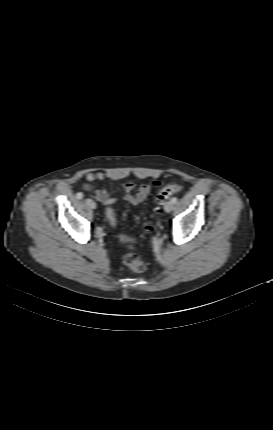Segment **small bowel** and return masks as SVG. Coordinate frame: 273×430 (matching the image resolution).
Wrapping results in <instances>:
<instances>
[{
	"label": "small bowel",
	"instance_id": "1",
	"mask_svg": "<svg viewBox=\"0 0 273 430\" xmlns=\"http://www.w3.org/2000/svg\"><path fill=\"white\" fill-rule=\"evenodd\" d=\"M86 178L90 182L102 181L106 178V174L102 171L90 172L86 175ZM159 185L160 182L157 180L153 181L152 183L142 185H135L131 182L125 183L122 186L125 192L123 200L133 205L140 204L148 197L152 189L158 187ZM95 196L100 203L108 207L117 201V198L110 196L104 188H98L96 190ZM122 239L126 240L127 238L122 237Z\"/></svg>",
	"mask_w": 273,
	"mask_h": 430
}]
</instances>
